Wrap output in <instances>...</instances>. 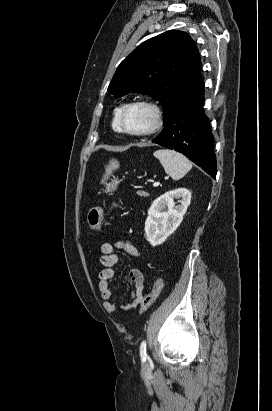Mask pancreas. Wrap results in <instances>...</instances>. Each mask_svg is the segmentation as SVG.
Returning <instances> with one entry per match:
<instances>
[{
	"mask_svg": "<svg viewBox=\"0 0 272 411\" xmlns=\"http://www.w3.org/2000/svg\"><path fill=\"white\" fill-rule=\"evenodd\" d=\"M137 194H138L140 197H148V196H149V193H148V192L141 191V190L137 191Z\"/></svg>",
	"mask_w": 272,
	"mask_h": 411,
	"instance_id": "cf45deb5",
	"label": "pancreas"
}]
</instances>
